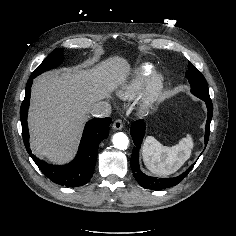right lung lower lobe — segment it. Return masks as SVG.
I'll use <instances>...</instances> for the list:
<instances>
[{"instance_id": "98d812e1", "label": "right lung lower lobe", "mask_w": 236, "mask_h": 236, "mask_svg": "<svg viewBox=\"0 0 236 236\" xmlns=\"http://www.w3.org/2000/svg\"><path fill=\"white\" fill-rule=\"evenodd\" d=\"M32 79L33 78L30 77L28 80L25 90V98L20 109L22 135L27 152L43 174L52 182L59 185H64L66 187H78L86 184L94 172L98 145L109 135L111 118H95L90 120L85 126L79 152L76 158L67 165H50L34 156L29 148L27 113L29 108Z\"/></svg>"}]
</instances>
